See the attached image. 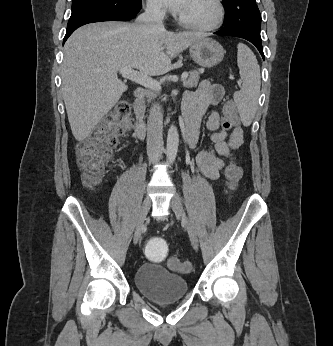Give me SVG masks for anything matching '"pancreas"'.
I'll list each match as a JSON object with an SVG mask.
<instances>
[{"mask_svg":"<svg viewBox=\"0 0 333 346\" xmlns=\"http://www.w3.org/2000/svg\"><path fill=\"white\" fill-rule=\"evenodd\" d=\"M199 79H200V75L198 71H190L188 73V78L183 82V85L186 88L197 87Z\"/></svg>","mask_w":333,"mask_h":346,"instance_id":"1","label":"pancreas"}]
</instances>
